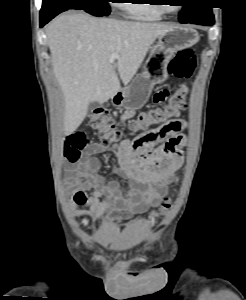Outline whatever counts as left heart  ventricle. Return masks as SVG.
Returning a JSON list of instances; mask_svg holds the SVG:
<instances>
[{"label": "left heart ventricle", "mask_w": 246, "mask_h": 300, "mask_svg": "<svg viewBox=\"0 0 246 300\" xmlns=\"http://www.w3.org/2000/svg\"><path fill=\"white\" fill-rule=\"evenodd\" d=\"M169 8H170V9H175V6H170Z\"/></svg>", "instance_id": "obj_1"}]
</instances>
